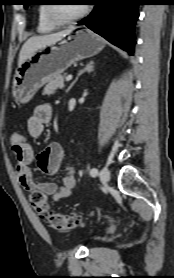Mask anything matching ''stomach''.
<instances>
[{
  "instance_id": "1",
  "label": "stomach",
  "mask_w": 174,
  "mask_h": 278,
  "mask_svg": "<svg viewBox=\"0 0 174 278\" xmlns=\"http://www.w3.org/2000/svg\"><path fill=\"white\" fill-rule=\"evenodd\" d=\"M105 42L90 31L68 34L52 44L34 51L18 66L12 84L16 102L26 103L52 78L61 75L72 64L98 54Z\"/></svg>"
}]
</instances>
